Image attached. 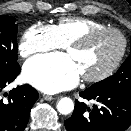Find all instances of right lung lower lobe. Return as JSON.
Returning <instances> with one entry per match:
<instances>
[{"mask_svg": "<svg viewBox=\"0 0 131 131\" xmlns=\"http://www.w3.org/2000/svg\"><path fill=\"white\" fill-rule=\"evenodd\" d=\"M20 73L18 70L9 75L0 76V92ZM7 100L0 99V131H24L33 104L38 99L37 91L26 84L12 89Z\"/></svg>", "mask_w": 131, "mask_h": 131, "instance_id": "98d812e1", "label": "right lung lower lobe"}]
</instances>
